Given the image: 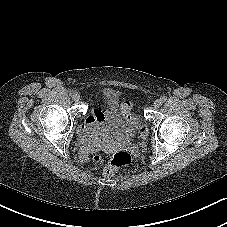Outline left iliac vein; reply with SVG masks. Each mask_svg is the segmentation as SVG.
Returning <instances> with one entry per match:
<instances>
[{
	"mask_svg": "<svg viewBox=\"0 0 227 227\" xmlns=\"http://www.w3.org/2000/svg\"><path fill=\"white\" fill-rule=\"evenodd\" d=\"M160 105H161L160 99L155 100L154 103H153V106H154L155 108L160 107Z\"/></svg>",
	"mask_w": 227,
	"mask_h": 227,
	"instance_id": "4c4485c4",
	"label": "left iliac vein"
}]
</instances>
